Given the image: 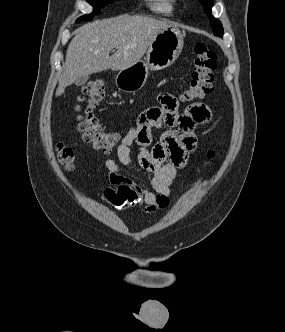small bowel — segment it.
Instances as JSON below:
<instances>
[{"label": "small bowel", "mask_w": 285, "mask_h": 332, "mask_svg": "<svg viewBox=\"0 0 285 332\" xmlns=\"http://www.w3.org/2000/svg\"><path fill=\"white\" fill-rule=\"evenodd\" d=\"M211 118L206 104L194 103L184 109L179 96H160L159 106H147L122 137L117 148L118 162L106 159L108 179L115 188H106L103 200L118 209L140 208L145 213L166 208L179 168L196 149L194 129L197 125L208 124ZM154 128L156 133L164 134L152 146ZM133 144L139 147V166L150 174L149 186L123 174L122 167L133 166Z\"/></svg>", "instance_id": "1"}]
</instances>
